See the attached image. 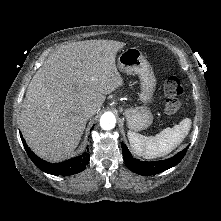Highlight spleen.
<instances>
[{
  "label": "spleen",
  "instance_id": "3e777b00",
  "mask_svg": "<svg viewBox=\"0 0 221 221\" xmlns=\"http://www.w3.org/2000/svg\"><path fill=\"white\" fill-rule=\"evenodd\" d=\"M192 121L183 119L172 128H165L155 136H143L131 130L128 131V139L134 153L146 159L162 157L174 150L187 136Z\"/></svg>",
  "mask_w": 221,
  "mask_h": 221
}]
</instances>
